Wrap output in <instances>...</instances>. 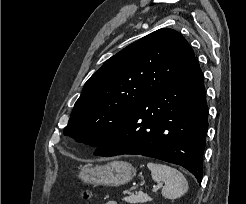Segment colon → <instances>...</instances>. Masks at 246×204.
Instances as JSON below:
<instances>
[{
  "mask_svg": "<svg viewBox=\"0 0 246 204\" xmlns=\"http://www.w3.org/2000/svg\"><path fill=\"white\" fill-rule=\"evenodd\" d=\"M89 196H90L89 192L85 191V192L83 193V197H84V198H89Z\"/></svg>",
  "mask_w": 246,
  "mask_h": 204,
  "instance_id": "obj_1",
  "label": "colon"
}]
</instances>
